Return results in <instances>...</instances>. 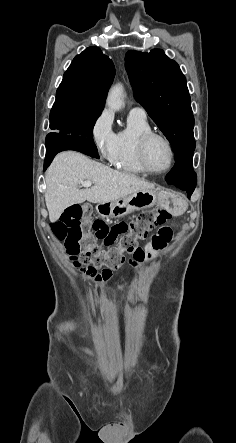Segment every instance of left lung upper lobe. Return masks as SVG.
<instances>
[{
    "label": "left lung upper lobe",
    "mask_w": 236,
    "mask_h": 443,
    "mask_svg": "<svg viewBox=\"0 0 236 443\" xmlns=\"http://www.w3.org/2000/svg\"><path fill=\"white\" fill-rule=\"evenodd\" d=\"M125 67L135 99L163 132L175 159L192 153L194 117L186 78L179 65L160 49L150 53L128 51Z\"/></svg>",
    "instance_id": "5c2ea615"
}]
</instances>
